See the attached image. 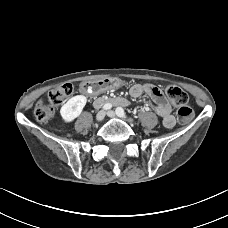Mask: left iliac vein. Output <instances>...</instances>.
Wrapping results in <instances>:
<instances>
[{"mask_svg":"<svg viewBox=\"0 0 228 228\" xmlns=\"http://www.w3.org/2000/svg\"><path fill=\"white\" fill-rule=\"evenodd\" d=\"M107 115H108L109 117H111V118L116 117V113H115L114 111H112V110L108 111V112H107Z\"/></svg>","mask_w":228,"mask_h":228,"instance_id":"1","label":"left iliac vein"}]
</instances>
